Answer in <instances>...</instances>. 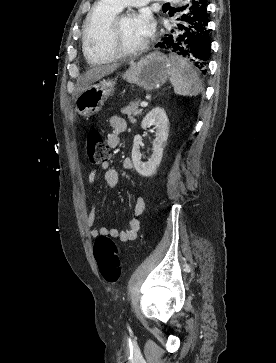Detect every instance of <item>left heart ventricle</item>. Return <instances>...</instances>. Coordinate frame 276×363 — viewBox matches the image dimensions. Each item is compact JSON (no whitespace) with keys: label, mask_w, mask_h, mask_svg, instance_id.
<instances>
[{"label":"left heart ventricle","mask_w":276,"mask_h":363,"mask_svg":"<svg viewBox=\"0 0 276 363\" xmlns=\"http://www.w3.org/2000/svg\"><path fill=\"white\" fill-rule=\"evenodd\" d=\"M147 40V37L141 32L136 16H125L122 19L118 43L126 49H133Z\"/></svg>","instance_id":"obj_1"}]
</instances>
